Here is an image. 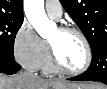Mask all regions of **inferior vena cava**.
<instances>
[{
    "mask_svg": "<svg viewBox=\"0 0 107 89\" xmlns=\"http://www.w3.org/2000/svg\"><path fill=\"white\" fill-rule=\"evenodd\" d=\"M21 74H22L23 76H29V75H31L30 73L25 72V71H24V72H22Z\"/></svg>",
    "mask_w": 107,
    "mask_h": 89,
    "instance_id": "602c4592",
    "label": "inferior vena cava"
}]
</instances>
